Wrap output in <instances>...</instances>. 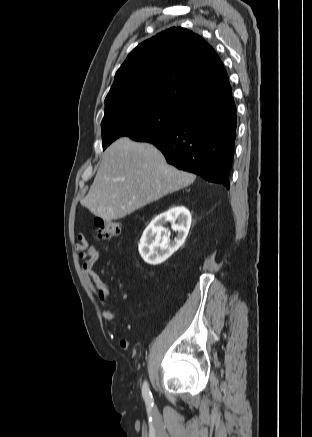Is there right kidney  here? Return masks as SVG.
Returning <instances> with one entry per match:
<instances>
[{
  "instance_id": "obj_1",
  "label": "right kidney",
  "mask_w": 312,
  "mask_h": 437,
  "mask_svg": "<svg viewBox=\"0 0 312 437\" xmlns=\"http://www.w3.org/2000/svg\"><path fill=\"white\" fill-rule=\"evenodd\" d=\"M167 222L177 231L175 239L171 242L168 229L164 227ZM190 226L191 214L184 206L174 207L160 214L143 232L139 244L141 257L151 265L163 263L184 244Z\"/></svg>"
}]
</instances>
